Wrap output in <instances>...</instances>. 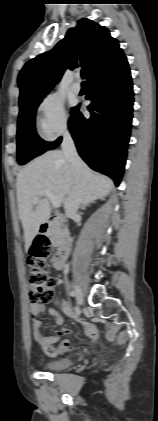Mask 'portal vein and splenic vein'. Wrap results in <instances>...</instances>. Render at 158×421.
Segmentation results:
<instances>
[{
  "label": "portal vein and splenic vein",
  "instance_id": "portal-vein-and-splenic-vein-1",
  "mask_svg": "<svg viewBox=\"0 0 158 421\" xmlns=\"http://www.w3.org/2000/svg\"><path fill=\"white\" fill-rule=\"evenodd\" d=\"M40 194L46 196L51 201L53 207L57 208L60 206V200L56 198V196L50 190H43L41 191ZM37 202H38V197H35L33 199V203L36 204Z\"/></svg>",
  "mask_w": 158,
  "mask_h": 421
}]
</instances>
